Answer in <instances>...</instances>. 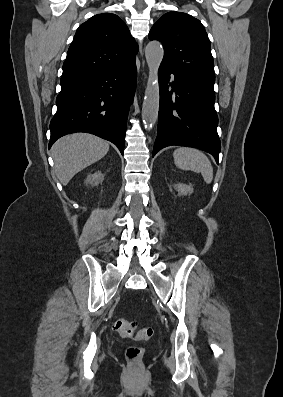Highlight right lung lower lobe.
I'll list each match as a JSON object with an SVG mask.
<instances>
[{"mask_svg": "<svg viewBox=\"0 0 283 397\" xmlns=\"http://www.w3.org/2000/svg\"><path fill=\"white\" fill-rule=\"evenodd\" d=\"M135 60L61 82L50 122L49 148L61 136L87 132L114 143L123 154L129 105L136 88Z\"/></svg>", "mask_w": 283, "mask_h": 397, "instance_id": "right-lung-lower-lobe-1", "label": "right lung lower lobe"}]
</instances>
